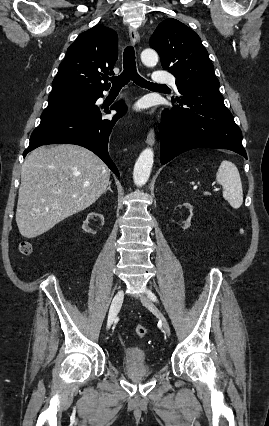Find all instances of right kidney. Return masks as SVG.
Returning <instances> with one entry per match:
<instances>
[{
    "instance_id": "1",
    "label": "right kidney",
    "mask_w": 269,
    "mask_h": 426,
    "mask_svg": "<svg viewBox=\"0 0 269 426\" xmlns=\"http://www.w3.org/2000/svg\"><path fill=\"white\" fill-rule=\"evenodd\" d=\"M96 216V217H95ZM100 218H98V217ZM98 219H100L98 222H92V221H97ZM103 216L101 214H97L94 212H91L88 214V217H86V221L83 224V229L86 230L88 232V234L93 235L95 234L96 231H101L104 228L105 225V220H103Z\"/></svg>"
}]
</instances>
